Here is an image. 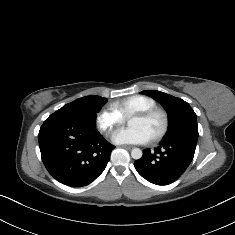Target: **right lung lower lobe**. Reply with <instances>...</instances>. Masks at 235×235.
<instances>
[{
    "label": "right lung lower lobe",
    "instance_id": "right-lung-lower-lobe-1",
    "mask_svg": "<svg viewBox=\"0 0 235 235\" xmlns=\"http://www.w3.org/2000/svg\"><path fill=\"white\" fill-rule=\"evenodd\" d=\"M42 161L50 175L72 187L90 184L106 168L115 148L95 127L64 116H52L40 128Z\"/></svg>",
    "mask_w": 235,
    "mask_h": 235
}]
</instances>
